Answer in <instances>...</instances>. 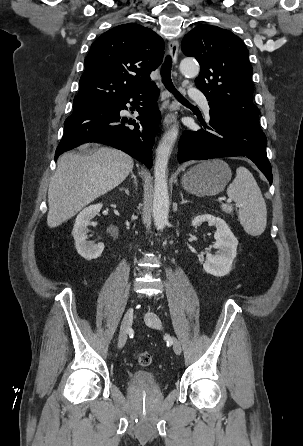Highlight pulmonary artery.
Masks as SVG:
<instances>
[{
    "label": "pulmonary artery",
    "mask_w": 303,
    "mask_h": 446,
    "mask_svg": "<svg viewBox=\"0 0 303 446\" xmlns=\"http://www.w3.org/2000/svg\"><path fill=\"white\" fill-rule=\"evenodd\" d=\"M189 96L191 99L199 102L201 104L204 112L207 115H209L210 107H209V104H208V101H207L205 95L201 91H199L197 89H191L189 92Z\"/></svg>",
    "instance_id": "pulmonary-artery-1"
}]
</instances>
